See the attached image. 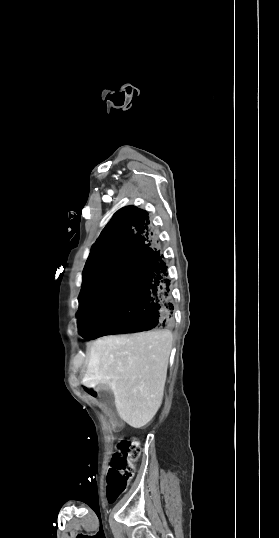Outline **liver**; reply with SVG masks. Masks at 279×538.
Returning a JSON list of instances; mask_svg holds the SVG:
<instances>
[{
	"label": "liver",
	"instance_id": "liver-1",
	"mask_svg": "<svg viewBox=\"0 0 279 538\" xmlns=\"http://www.w3.org/2000/svg\"><path fill=\"white\" fill-rule=\"evenodd\" d=\"M172 342L171 330L98 338L84 380L111 390L120 418L142 428L162 404Z\"/></svg>",
	"mask_w": 279,
	"mask_h": 538
}]
</instances>
